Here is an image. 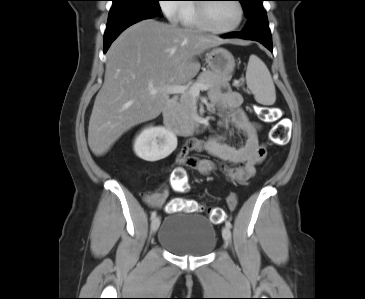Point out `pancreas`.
<instances>
[{
	"label": "pancreas",
	"mask_w": 365,
	"mask_h": 299,
	"mask_svg": "<svg viewBox=\"0 0 365 299\" xmlns=\"http://www.w3.org/2000/svg\"><path fill=\"white\" fill-rule=\"evenodd\" d=\"M228 80L229 78L226 76L207 70L200 73L193 85L206 84L211 89L220 87L221 85L227 83ZM195 109V98L189 93L183 94L174 110V117L177 124L184 129H193L195 124L193 118Z\"/></svg>",
	"instance_id": "cf45deb5"
}]
</instances>
